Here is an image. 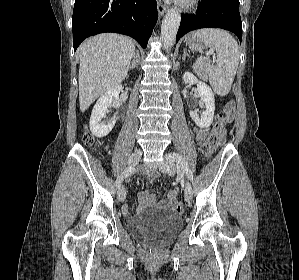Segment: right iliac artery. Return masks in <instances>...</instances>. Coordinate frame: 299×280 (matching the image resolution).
I'll list each match as a JSON object with an SVG mask.
<instances>
[{
  "instance_id": "82829eb1",
  "label": "right iliac artery",
  "mask_w": 299,
  "mask_h": 280,
  "mask_svg": "<svg viewBox=\"0 0 299 280\" xmlns=\"http://www.w3.org/2000/svg\"><path fill=\"white\" fill-rule=\"evenodd\" d=\"M134 169L132 167H128L126 168L121 175L118 176L117 180H116V186L118 188L121 187L123 179L127 176H130L133 173Z\"/></svg>"
}]
</instances>
